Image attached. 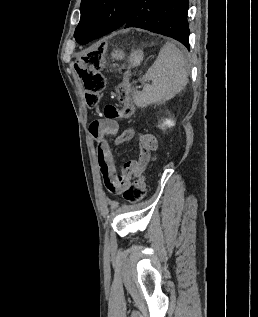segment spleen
I'll return each instance as SVG.
<instances>
[{
    "mask_svg": "<svg viewBox=\"0 0 258 317\" xmlns=\"http://www.w3.org/2000/svg\"><path fill=\"white\" fill-rule=\"evenodd\" d=\"M142 80H152V84H144L143 90L133 92L136 106H148L152 102L173 98L183 90L188 80L184 52L173 42H166Z\"/></svg>",
    "mask_w": 258,
    "mask_h": 317,
    "instance_id": "3e777b00",
    "label": "spleen"
}]
</instances>
